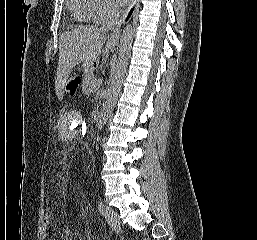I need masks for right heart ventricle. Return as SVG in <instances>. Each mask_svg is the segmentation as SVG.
<instances>
[{
	"label": "right heart ventricle",
	"instance_id": "obj_1",
	"mask_svg": "<svg viewBox=\"0 0 257 240\" xmlns=\"http://www.w3.org/2000/svg\"><path fill=\"white\" fill-rule=\"evenodd\" d=\"M94 0H67V8L72 17L80 23L93 20Z\"/></svg>",
	"mask_w": 257,
	"mask_h": 240
}]
</instances>
